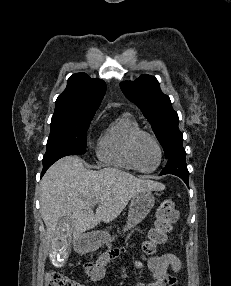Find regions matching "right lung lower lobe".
Returning a JSON list of instances; mask_svg holds the SVG:
<instances>
[{"instance_id":"right-lung-lower-lobe-1","label":"right lung lower lobe","mask_w":231,"mask_h":286,"mask_svg":"<svg viewBox=\"0 0 231 286\" xmlns=\"http://www.w3.org/2000/svg\"><path fill=\"white\" fill-rule=\"evenodd\" d=\"M57 160H58V159L52 160V161L47 162V163H43V170H42L41 177H42L43 174L46 172V170H47L55 161H57Z\"/></svg>"}]
</instances>
